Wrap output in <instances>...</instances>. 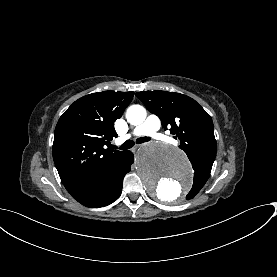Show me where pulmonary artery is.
I'll return each mask as SVG.
<instances>
[{"label":"pulmonary artery","instance_id":"obj_1","mask_svg":"<svg viewBox=\"0 0 277 277\" xmlns=\"http://www.w3.org/2000/svg\"><path fill=\"white\" fill-rule=\"evenodd\" d=\"M165 121V117L162 114H155L142 126L137 125L135 129H132L130 132H126L122 136V141L125 144H131L133 141H136L144 136H152L156 137L158 140H162L164 139L165 134L159 128L165 124Z\"/></svg>","mask_w":277,"mask_h":277}]
</instances>
